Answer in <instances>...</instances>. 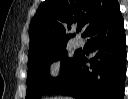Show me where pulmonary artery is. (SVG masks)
I'll return each instance as SVG.
<instances>
[{"mask_svg": "<svg viewBox=\"0 0 128 99\" xmlns=\"http://www.w3.org/2000/svg\"><path fill=\"white\" fill-rule=\"evenodd\" d=\"M75 45H76V47H81L83 45V40L81 38L77 37L75 40Z\"/></svg>", "mask_w": 128, "mask_h": 99, "instance_id": "obj_1", "label": "pulmonary artery"}]
</instances>
